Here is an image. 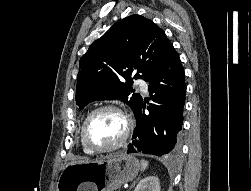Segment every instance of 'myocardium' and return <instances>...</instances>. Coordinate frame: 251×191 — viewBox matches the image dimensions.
Wrapping results in <instances>:
<instances>
[{"label": "myocardium", "instance_id": "obj_1", "mask_svg": "<svg viewBox=\"0 0 251 191\" xmlns=\"http://www.w3.org/2000/svg\"><path fill=\"white\" fill-rule=\"evenodd\" d=\"M106 110L113 111L120 116V118L122 119V121L124 123V130H123V134H122V137L119 142L115 143L114 145H112L110 147L104 148V149H97V148H94L93 146H91L90 143L88 142L87 127H88V124L91 121V119L94 117V115H96L97 113H99L101 111H106ZM131 127H132L131 120L120 108H118L114 105H111V104L101 105L99 107H96L92 111H90L85 116V118L82 122V125L80 127V132H79L80 142H81L83 149L91 155H100V154L109 153V152H112L114 150L119 149L120 147H122L126 143L128 137H129L130 131H131Z\"/></svg>", "mask_w": 251, "mask_h": 191}]
</instances>
